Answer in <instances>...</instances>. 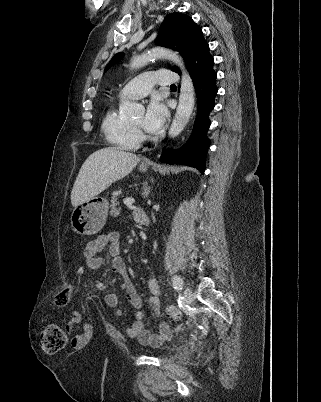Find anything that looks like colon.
<instances>
[{
	"label": "colon",
	"instance_id": "colon-1",
	"mask_svg": "<svg viewBox=\"0 0 321 402\" xmlns=\"http://www.w3.org/2000/svg\"><path fill=\"white\" fill-rule=\"evenodd\" d=\"M71 290L65 289L55 296L54 303L57 307H65L70 303ZM165 314L175 320L182 318L180 309L173 305L165 308ZM68 342V336L61 327L53 323H46L40 334V345L42 350L47 354H55L63 350Z\"/></svg>",
	"mask_w": 321,
	"mask_h": 402
}]
</instances>
